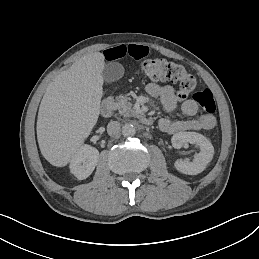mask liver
<instances>
[{"mask_svg":"<svg viewBox=\"0 0 259 259\" xmlns=\"http://www.w3.org/2000/svg\"><path fill=\"white\" fill-rule=\"evenodd\" d=\"M104 65L102 53L85 55L48 84L36 129L40 151L53 166L67 165L97 123Z\"/></svg>","mask_w":259,"mask_h":259,"instance_id":"liver-1","label":"liver"}]
</instances>
